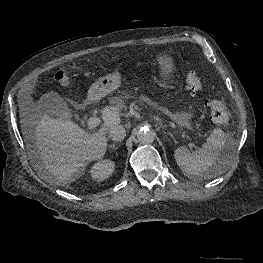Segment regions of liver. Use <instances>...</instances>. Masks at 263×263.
<instances>
[{"label": "liver", "mask_w": 263, "mask_h": 263, "mask_svg": "<svg viewBox=\"0 0 263 263\" xmlns=\"http://www.w3.org/2000/svg\"><path fill=\"white\" fill-rule=\"evenodd\" d=\"M102 120L104 123L99 131L89 134L69 119L41 115L35 104L22 101V133L26 135L30 128H34L36 152L30 151L34 168L47 175L52 184L73 182L86 165L104 157L108 141L106 130L121 122L119 108H104Z\"/></svg>", "instance_id": "obj_1"}]
</instances>
